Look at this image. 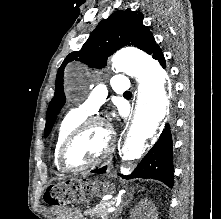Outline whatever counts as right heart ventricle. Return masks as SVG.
<instances>
[{"mask_svg":"<svg viewBox=\"0 0 221 219\" xmlns=\"http://www.w3.org/2000/svg\"><path fill=\"white\" fill-rule=\"evenodd\" d=\"M87 116L88 115L81 113L77 110H72L60 121L56 131L54 146H53V163L58 171L63 170L58 162V153L61 144L63 143L69 132L75 126H77L79 123L85 120Z\"/></svg>","mask_w":221,"mask_h":219,"instance_id":"obj_1","label":"right heart ventricle"}]
</instances>
